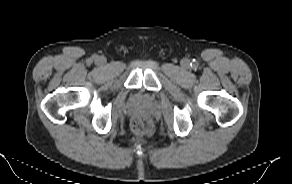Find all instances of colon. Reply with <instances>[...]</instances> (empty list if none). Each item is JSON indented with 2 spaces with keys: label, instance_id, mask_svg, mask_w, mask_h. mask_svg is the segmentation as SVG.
Masks as SVG:
<instances>
[{
  "label": "colon",
  "instance_id": "5ec220e1",
  "mask_svg": "<svg viewBox=\"0 0 292 184\" xmlns=\"http://www.w3.org/2000/svg\"><path fill=\"white\" fill-rule=\"evenodd\" d=\"M131 127L136 134H150L152 132L151 124L140 119L134 120Z\"/></svg>",
  "mask_w": 292,
  "mask_h": 184
}]
</instances>
